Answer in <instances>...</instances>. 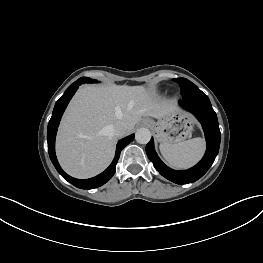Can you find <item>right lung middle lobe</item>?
Returning a JSON list of instances; mask_svg holds the SVG:
<instances>
[{
	"label": "right lung middle lobe",
	"mask_w": 263,
	"mask_h": 263,
	"mask_svg": "<svg viewBox=\"0 0 263 263\" xmlns=\"http://www.w3.org/2000/svg\"><path fill=\"white\" fill-rule=\"evenodd\" d=\"M77 81H80L82 84L87 83V82H90V83L96 82V80L90 79L88 77H82V78L78 79Z\"/></svg>",
	"instance_id": "dd1d6c3e"
}]
</instances>
